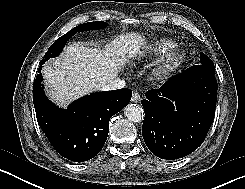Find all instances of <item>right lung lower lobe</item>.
Returning a JSON list of instances; mask_svg holds the SVG:
<instances>
[{"label":"right lung lower lobe","instance_id":"1","mask_svg":"<svg viewBox=\"0 0 245 189\" xmlns=\"http://www.w3.org/2000/svg\"><path fill=\"white\" fill-rule=\"evenodd\" d=\"M41 69L33 84V102L42 131L64 158L74 162L92 159L104 146L110 118L129 103L132 91L92 93L61 109L45 96Z\"/></svg>","mask_w":245,"mask_h":189}]
</instances>
